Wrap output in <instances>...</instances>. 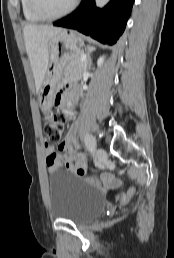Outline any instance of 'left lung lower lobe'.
<instances>
[{"label":"left lung lower lobe","instance_id":"1","mask_svg":"<svg viewBox=\"0 0 174 258\" xmlns=\"http://www.w3.org/2000/svg\"><path fill=\"white\" fill-rule=\"evenodd\" d=\"M134 0H111L103 9L95 0H82L79 7L54 26L75 29L103 44L113 45L123 33Z\"/></svg>","mask_w":174,"mask_h":258}]
</instances>
